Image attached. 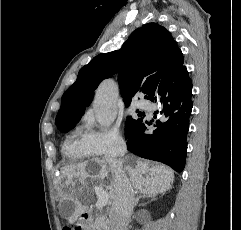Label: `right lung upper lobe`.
<instances>
[{
	"mask_svg": "<svg viewBox=\"0 0 241 230\" xmlns=\"http://www.w3.org/2000/svg\"><path fill=\"white\" fill-rule=\"evenodd\" d=\"M184 58L171 34L157 23L136 29L121 49L99 54L78 73L76 82L62 96L56 116L60 131L73 128L91 103L94 90L105 78L118 73L125 105L137 92L152 96L160 81L182 66Z\"/></svg>",
	"mask_w": 241,
	"mask_h": 230,
	"instance_id": "1",
	"label": "right lung upper lobe"
}]
</instances>
